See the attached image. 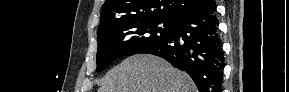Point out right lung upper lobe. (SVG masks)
<instances>
[{
    "label": "right lung upper lobe",
    "instance_id": "right-lung-upper-lobe-1",
    "mask_svg": "<svg viewBox=\"0 0 289 92\" xmlns=\"http://www.w3.org/2000/svg\"><path fill=\"white\" fill-rule=\"evenodd\" d=\"M213 3L214 0H106L97 32L126 20L157 18L174 21Z\"/></svg>",
    "mask_w": 289,
    "mask_h": 92
}]
</instances>
